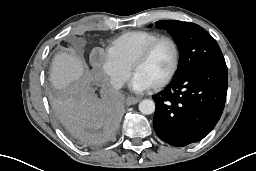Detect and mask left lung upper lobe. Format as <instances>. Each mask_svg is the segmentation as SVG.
<instances>
[{"mask_svg":"<svg viewBox=\"0 0 256 171\" xmlns=\"http://www.w3.org/2000/svg\"><path fill=\"white\" fill-rule=\"evenodd\" d=\"M155 25L167 29L178 45L180 61L175 77L197 66L225 63L216 41L199 25L178 20H160Z\"/></svg>","mask_w":256,"mask_h":171,"instance_id":"left-lung-upper-lobe-1","label":"left lung upper lobe"}]
</instances>
